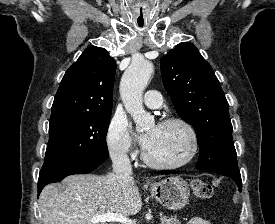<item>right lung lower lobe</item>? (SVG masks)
Listing matches in <instances>:
<instances>
[{
    "label": "right lung lower lobe",
    "mask_w": 275,
    "mask_h": 224,
    "mask_svg": "<svg viewBox=\"0 0 275 224\" xmlns=\"http://www.w3.org/2000/svg\"><path fill=\"white\" fill-rule=\"evenodd\" d=\"M109 157L108 152H101L86 158L73 159L43 165L38 180V194L49 183L61 181L73 174H87L96 169Z\"/></svg>",
    "instance_id": "1"
}]
</instances>
